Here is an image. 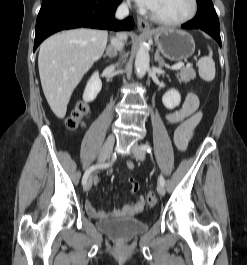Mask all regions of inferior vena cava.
Returning a JSON list of instances; mask_svg holds the SVG:
<instances>
[{"label": "inferior vena cava", "mask_w": 247, "mask_h": 265, "mask_svg": "<svg viewBox=\"0 0 247 265\" xmlns=\"http://www.w3.org/2000/svg\"><path fill=\"white\" fill-rule=\"evenodd\" d=\"M129 6H130L129 2L122 3L116 11V17L119 19L126 17L129 14ZM125 39L126 37L124 34H118L117 37H113L111 39V45L113 46L115 51L117 50L121 51L123 49Z\"/></svg>", "instance_id": "602c4592"}]
</instances>
